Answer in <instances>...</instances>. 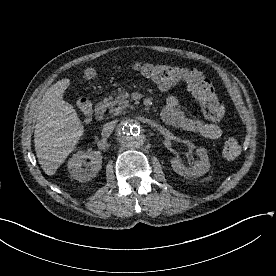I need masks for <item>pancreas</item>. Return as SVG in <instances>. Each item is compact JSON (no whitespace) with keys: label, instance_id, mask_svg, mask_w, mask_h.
Masks as SVG:
<instances>
[{"label":"pancreas","instance_id":"1","mask_svg":"<svg viewBox=\"0 0 276 276\" xmlns=\"http://www.w3.org/2000/svg\"><path fill=\"white\" fill-rule=\"evenodd\" d=\"M128 107H130L129 94L125 91H121L116 95L114 101L110 103V113L118 115Z\"/></svg>","mask_w":276,"mask_h":276}]
</instances>
